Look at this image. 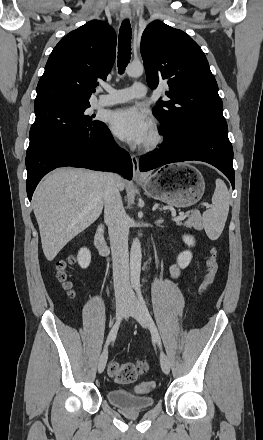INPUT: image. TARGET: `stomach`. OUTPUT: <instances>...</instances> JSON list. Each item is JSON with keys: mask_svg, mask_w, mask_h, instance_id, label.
Wrapping results in <instances>:
<instances>
[{"mask_svg": "<svg viewBox=\"0 0 263 440\" xmlns=\"http://www.w3.org/2000/svg\"><path fill=\"white\" fill-rule=\"evenodd\" d=\"M139 183L150 197L179 208L197 203L205 190L202 174L189 165L171 166Z\"/></svg>", "mask_w": 263, "mask_h": 440, "instance_id": "obj_1", "label": "stomach"}]
</instances>
